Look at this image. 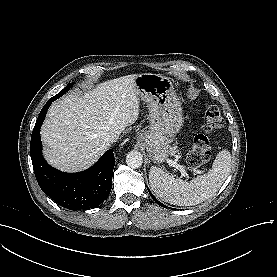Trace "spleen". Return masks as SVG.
<instances>
[{
  "instance_id": "spleen-1",
  "label": "spleen",
  "mask_w": 277,
  "mask_h": 277,
  "mask_svg": "<svg viewBox=\"0 0 277 277\" xmlns=\"http://www.w3.org/2000/svg\"><path fill=\"white\" fill-rule=\"evenodd\" d=\"M230 170L231 154L227 149H223L217 154L212 168L190 182L152 166L149 183L153 192L163 201L179 206H192L214 196L228 177Z\"/></svg>"
}]
</instances>
